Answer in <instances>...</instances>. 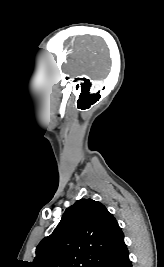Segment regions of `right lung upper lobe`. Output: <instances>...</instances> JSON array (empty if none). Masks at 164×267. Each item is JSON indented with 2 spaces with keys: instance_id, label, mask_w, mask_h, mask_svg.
<instances>
[{
  "instance_id": "1",
  "label": "right lung upper lobe",
  "mask_w": 164,
  "mask_h": 267,
  "mask_svg": "<svg viewBox=\"0 0 164 267\" xmlns=\"http://www.w3.org/2000/svg\"><path fill=\"white\" fill-rule=\"evenodd\" d=\"M124 235L106 207L81 199L66 209L51 235L36 248L32 267H98L124 248Z\"/></svg>"
}]
</instances>
